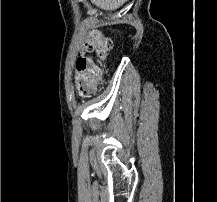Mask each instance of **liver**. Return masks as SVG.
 Here are the masks:
<instances>
[{"mask_svg": "<svg viewBox=\"0 0 217 202\" xmlns=\"http://www.w3.org/2000/svg\"><path fill=\"white\" fill-rule=\"evenodd\" d=\"M92 4L99 6L102 10H117L120 6H123L128 0H91Z\"/></svg>", "mask_w": 217, "mask_h": 202, "instance_id": "obj_1", "label": "liver"}]
</instances>
